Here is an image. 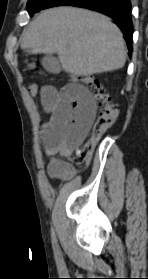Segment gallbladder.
<instances>
[{
  "label": "gallbladder",
  "instance_id": "1",
  "mask_svg": "<svg viewBox=\"0 0 148 279\" xmlns=\"http://www.w3.org/2000/svg\"><path fill=\"white\" fill-rule=\"evenodd\" d=\"M41 64L43 68L52 74H58L61 72V65L57 58H55L52 54H46L41 59Z\"/></svg>",
  "mask_w": 148,
  "mask_h": 279
}]
</instances>
